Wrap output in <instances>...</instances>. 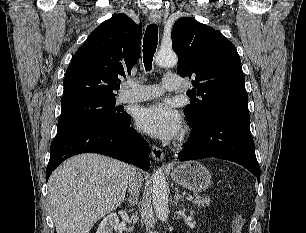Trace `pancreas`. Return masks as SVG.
<instances>
[{
    "mask_svg": "<svg viewBox=\"0 0 306 233\" xmlns=\"http://www.w3.org/2000/svg\"><path fill=\"white\" fill-rule=\"evenodd\" d=\"M192 203L198 207H207L210 205V199L208 197H202L197 194L192 196Z\"/></svg>",
    "mask_w": 306,
    "mask_h": 233,
    "instance_id": "cf45deb5",
    "label": "pancreas"
}]
</instances>
